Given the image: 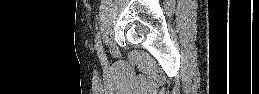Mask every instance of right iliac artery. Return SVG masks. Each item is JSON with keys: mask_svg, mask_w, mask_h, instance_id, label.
Returning a JSON list of instances; mask_svg holds the SVG:
<instances>
[{"mask_svg": "<svg viewBox=\"0 0 259 94\" xmlns=\"http://www.w3.org/2000/svg\"><path fill=\"white\" fill-rule=\"evenodd\" d=\"M96 50H97V53H98V56L100 58V61L103 65L106 64V57H105V54H104V51H103V48H102V45H101V41H100V35L98 34L96 36Z\"/></svg>", "mask_w": 259, "mask_h": 94, "instance_id": "obj_1", "label": "right iliac artery"}]
</instances>
